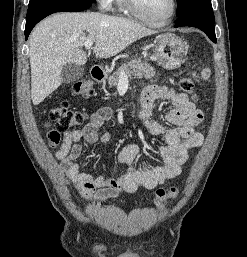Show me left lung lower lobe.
Here are the masks:
<instances>
[{
    "label": "left lung lower lobe",
    "instance_id": "obj_1",
    "mask_svg": "<svg viewBox=\"0 0 247 257\" xmlns=\"http://www.w3.org/2000/svg\"><path fill=\"white\" fill-rule=\"evenodd\" d=\"M213 11L202 9H193L178 16L177 23L174 27L192 26L196 27L216 43Z\"/></svg>",
    "mask_w": 247,
    "mask_h": 257
}]
</instances>
